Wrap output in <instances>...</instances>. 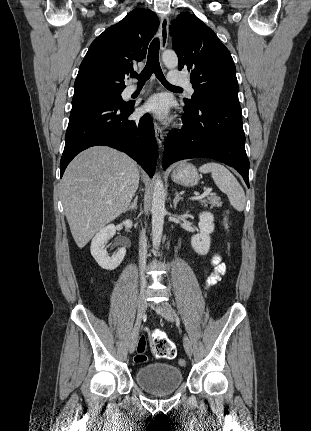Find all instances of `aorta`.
Returning <instances> with one entry per match:
<instances>
[{
	"label": "aorta",
	"instance_id": "762f6f07",
	"mask_svg": "<svg viewBox=\"0 0 311 431\" xmlns=\"http://www.w3.org/2000/svg\"><path fill=\"white\" fill-rule=\"evenodd\" d=\"M162 62L166 68L174 70L178 66V58L172 50H166L162 54ZM152 243L155 249H159L165 216V188L161 178H156L152 196Z\"/></svg>",
	"mask_w": 311,
	"mask_h": 431
}]
</instances>
